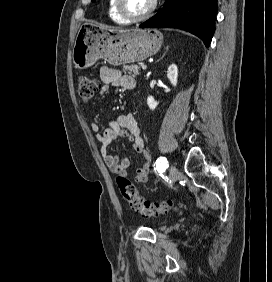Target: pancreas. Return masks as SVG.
Listing matches in <instances>:
<instances>
[{
	"label": "pancreas",
	"instance_id": "pancreas-1",
	"mask_svg": "<svg viewBox=\"0 0 272 282\" xmlns=\"http://www.w3.org/2000/svg\"><path fill=\"white\" fill-rule=\"evenodd\" d=\"M140 70H139V66H137V65H130V66H128V65H124L123 66V72L126 74V73H128L129 75H131L132 77H137L139 74H140V72H139Z\"/></svg>",
	"mask_w": 272,
	"mask_h": 282
}]
</instances>
